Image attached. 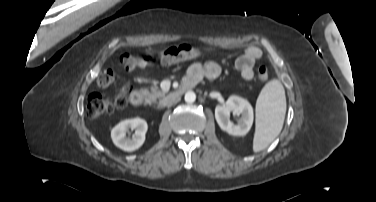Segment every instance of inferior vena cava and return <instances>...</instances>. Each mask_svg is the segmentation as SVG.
<instances>
[{"mask_svg":"<svg viewBox=\"0 0 376 202\" xmlns=\"http://www.w3.org/2000/svg\"><path fill=\"white\" fill-rule=\"evenodd\" d=\"M177 101H178V99L169 100V101L167 102V106H171V105H173L174 103H176Z\"/></svg>","mask_w":376,"mask_h":202,"instance_id":"obj_1","label":"inferior vena cava"}]
</instances>
